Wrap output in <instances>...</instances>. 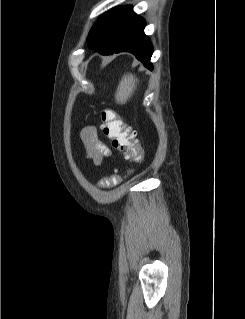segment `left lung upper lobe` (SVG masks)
<instances>
[{
    "instance_id": "1",
    "label": "left lung upper lobe",
    "mask_w": 245,
    "mask_h": 319,
    "mask_svg": "<svg viewBox=\"0 0 245 319\" xmlns=\"http://www.w3.org/2000/svg\"><path fill=\"white\" fill-rule=\"evenodd\" d=\"M134 15L132 6H118L101 15L90 30L88 47L113 46Z\"/></svg>"
}]
</instances>
